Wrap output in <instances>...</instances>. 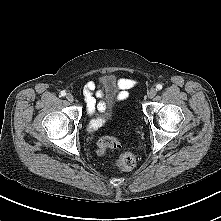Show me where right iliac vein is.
Listing matches in <instances>:
<instances>
[{
  "instance_id": "63e3f726",
  "label": "right iliac vein",
  "mask_w": 221,
  "mask_h": 221,
  "mask_svg": "<svg viewBox=\"0 0 221 221\" xmlns=\"http://www.w3.org/2000/svg\"><path fill=\"white\" fill-rule=\"evenodd\" d=\"M66 99H67L69 102H73V101H74V96H73L72 94L68 93V94L66 95Z\"/></svg>"
}]
</instances>
